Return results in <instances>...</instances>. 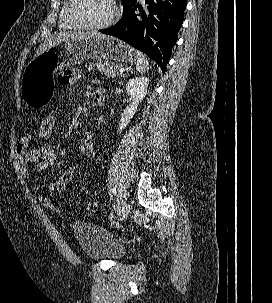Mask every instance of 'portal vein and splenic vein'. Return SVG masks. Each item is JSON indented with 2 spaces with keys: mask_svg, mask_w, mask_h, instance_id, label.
<instances>
[{
  "mask_svg": "<svg viewBox=\"0 0 272 303\" xmlns=\"http://www.w3.org/2000/svg\"><path fill=\"white\" fill-rule=\"evenodd\" d=\"M125 71V68H120L119 72L123 73Z\"/></svg>",
  "mask_w": 272,
  "mask_h": 303,
  "instance_id": "portal-vein-and-splenic-vein-1",
  "label": "portal vein and splenic vein"
}]
</instances>
